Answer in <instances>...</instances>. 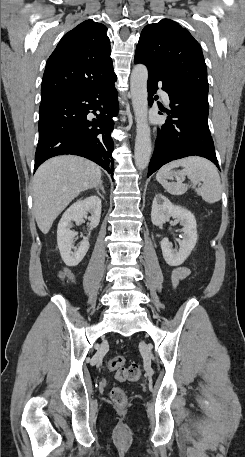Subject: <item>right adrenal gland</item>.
Returning <instances> with one entry per match:
<instances>
[{
	"mask_svg": "<svg viewBox=\"0 0 245 457\" xmlns=\"http://www.w3.org/2000/svg\"><path fill=\"white\" fill-rule=\"evenodd\" d=\"M99 188H101L102 192H105L104 186H103V184H102V180H101L99 186H95V190H96V192H98V194H100Z\"/></svg>",
	"mask_w": 245,
	"mask_h": 457,
	"instance_id": "2a0ac1e0",
	"label": "right adrenal gland"
}]
</instances>
